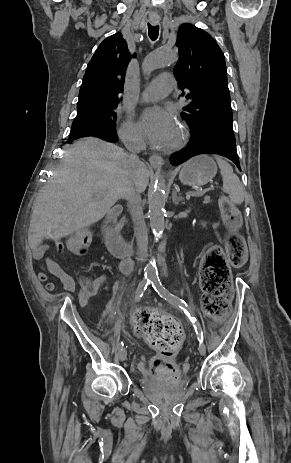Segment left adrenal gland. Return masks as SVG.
<instances>
[{"label": "left adrenal gland", "instance_id": "a2214340", "mask_svg": "<svg viewBox=\"0 0 291 463\" xmlns=\"http://www.w3.org/2000/svg\"><path fill=\"white\" fill-rule=\"evenodd\" d=\"M182 199L183 198L181 196H178L175 191L172 193V200L175 205H178L179 202L182 201Z\"/></svg>", "mask_w": 291, "mask_h": 463}]
</instances>
